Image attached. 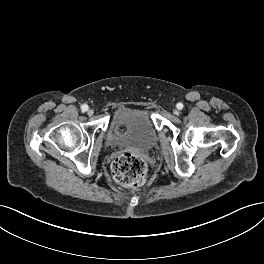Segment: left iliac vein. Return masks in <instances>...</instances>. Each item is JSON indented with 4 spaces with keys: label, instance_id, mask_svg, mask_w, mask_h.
<instances>
[{
    "label": "left iliac vein",
    "instance_id": "4c4485c4",
    "mask_svg": "<svg viewBox=\"0 0 264 264\" xmlns=\"http://www.w3.org/2000/svg\"><path fill=\"white\" fill-rule=\"evenodd\" d=\"M173 113H174V115H180V111L179 110H177V109H175L174 111H173Z\"/></svg>",
    "mask_w": 264,
    "mask_h": 264
}]
</instances>
